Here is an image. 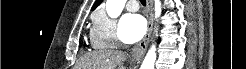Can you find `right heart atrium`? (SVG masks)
<instances>
[{
  "instance_id": "right-heart-atrium-1",
  "label": "right heart atrium",
  "mask_w": 246,
  "mask_h": 69,
  "mask_svg": "<svg viewBox=\"0 0 246 69\" xmlns=\"http://www.w3.org/2000/svg\"><path fill=\"white\" fill-rule=\"evenodd\" d=\"M91 40L95 48L113 47L118 43L117 22L102 9L93 17Z\"/></svg>"
}]
</instances>
